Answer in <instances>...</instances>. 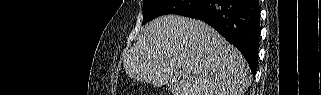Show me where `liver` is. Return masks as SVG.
<instances>
[{
    "label": "liver",
    "instance_id": "obj_1",
    "mask_svg": "<svg viewBox=\"0 0 321 95\" xmlns=\"http://www.w3.org/2000/svg\"><path fill=\"white\" fill-rule=\"evenodd\" d=\"M123 53L126 74L172 95H244L251 73L243 55L208 24L178 15L149 22Z\"/></svg>",
    "mask_w": 321,
    "mask_h": 95
}]
</instances>
